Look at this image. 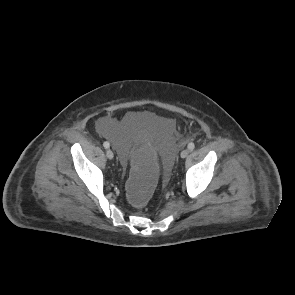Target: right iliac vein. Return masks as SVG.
Returning a JSON list of instances; mask_svg holds the SVG:
<instances>
[{"mask_svg":"<svg viewBox=\"0 0 295 295\" xmlns=\"http://www.w3.org/2000/svg\"><path fill=\"white\" fill-rule=\"evenodd\" d=\"M106 156H107L108 159H113L114 154H113L112 150L108 149L106 151Z\"/></svg>","mask_w":295,"mask_h":295,"instance_id":"1","label":"right iliac vein"}]
</instances>
